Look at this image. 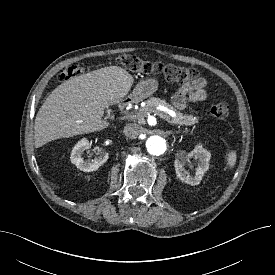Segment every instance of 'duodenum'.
Returning <instances> with one entry per match:
<instances>
[{"label": "duodenum", "instance_id": "duodenum-1", "mask_svg": "<svg viewBox=\"0 0 275 275\" xmlns=\"http://www.w3.org/2000/svg\"><path fill=\"white\" fill-rule=\"evenodd\" d=\"M133 102V98L129 97L124 99L121 104H120V108L123 110L125 109L129 104H131Z\"/></svg>", "mask_w": 275, "mask_h": 275}]
</instances>
